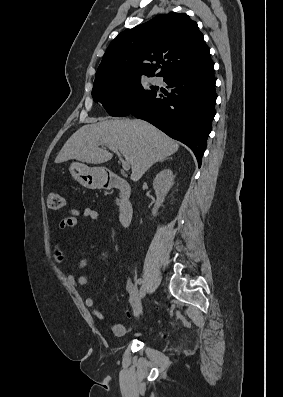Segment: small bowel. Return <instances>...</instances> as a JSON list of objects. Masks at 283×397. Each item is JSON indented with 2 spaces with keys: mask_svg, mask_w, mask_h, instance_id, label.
Masks as SVG:
<instances>
[{
  "mask_svg": "<svg viewBox=\"0 0 283 397\" xmlns=\"http://www.w3.org/2000/svg\"><path fill=\"white\" fill-rule=\"evenodd\" d=\"M66 213H67L66 216L59 221L57 225V231H64L74 228L78 223V219L80 218L88 219L95 222L100 220L99 212L90 207L69 208ZM52 258L56 263H61L64 261L65 255L62 247L59 244H55L53 246ZM88 264H89L88 260L81 259L78 262L77 266L80 269H84L88 266ZM67 281L70 285L76 288L83 287L89 283V279L85 275L76 276L74 274H69L67 276ZM126 288L128 292L132 295L130 299V306L126 311L127 316L137 315L143 317L142 307L139 298L136 295L137 292L136 285L132 282V280H128ZM85 305L86 307L91 309V313L95 318L101 321L106 320L103 313L95 307V299L93 297L91 296L86 297ZM110 327L113 334L118 337L123 336L126 332V328L124 324L119 322H111Z\"/></svg>",
  "mask_w": 283,
  "mask_h": 397,
  "instance_id": "obj_1",
  "label": "small bowel"
}]
</instances>
